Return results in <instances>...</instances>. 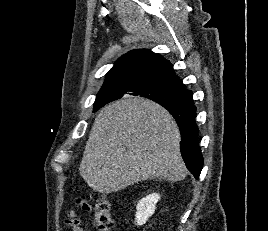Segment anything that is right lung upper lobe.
I'll return each instance as SVG.
<instances>
[{
  "instance_id": "1",
  "label": "right lung upper lobe",
  "mask_w": 268,
  "mask_h": 231,
  "mask_svg": "<svg viewBox=\"0 0 268 231\" xmlns=\"http://www.w3.org/2000/svg\"><path fill=\"white\" fill-rule=\"evenodd\" d=\"M149 81L167 84L182 91L191 92L183 88L182 81L176 76L173 66L168 60L150 50L137 49L126 53L118 59L113 68L107 73L96 101H99L101 93L106 88L120 87L130 89L135 85ZM124 94L110 97L107 100L100 101V103L107 104L121 98ZM157 103L163 106L174 105L167 101H157Z\"/></svg>"
}]
</instances>
